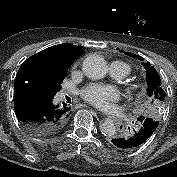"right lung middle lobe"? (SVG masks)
Returning <instances> with one entry per match:
<instances>
[{"label": "right lung middle lobe", "mask_w": 177, "mask_h": 177, "mask_svg": "<svg viewBox=\"0 0 177 177\" xmlns=\"http://www.w3.org/2000/svg\"><path fill=\"white\" fill-rule=\"evenodd\" d=\"M22 86L26 89L34 90L41 94L55 96V94L61 88V81L55 83H46L38 80H30Z\"/></svg>", "instance_id": "dd1d6c3e"}]
</instances>
